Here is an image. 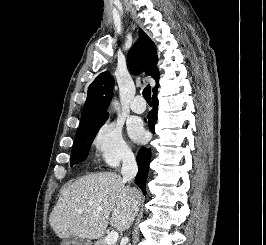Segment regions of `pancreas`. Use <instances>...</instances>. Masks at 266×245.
<instances>
[{
	"mask_svg": "<svg viewBox=\"0 0 266 245\" xmlns=\"http://www.w3.org/2000/svg\"><path fill=\"white\" fill-rule=\"evenodd\" d=\"M96 245H105L103 239H100V241H97Z\"/></svg>",
	"mask_w": 266,
	"mask_h": 245,
	"instance_id": "obj_1",
	"label": "pancreas"
}]
</instances>
